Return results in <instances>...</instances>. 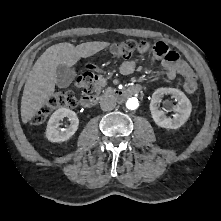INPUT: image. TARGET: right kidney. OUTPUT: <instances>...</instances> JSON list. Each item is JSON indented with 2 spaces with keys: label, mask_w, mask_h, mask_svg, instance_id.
<instances>
[{
  "label": "right kidney",
  "mask_w": 221,
  "mask_h": 221,
  "mask_svg": "<svg viewBox=\"0 0 221 221\" xmlns=\"http://www.w3.org/2000/svg\"><path fill=\"white\" fill-rule=\"evenodd\" d=\"M65 117L70 121V125L65 129H60V121ZM78 124L79 120L74 111L67 108H60L51 115L48 121L46 137L51 142L67 141L77 131Z\"/></svg>",
  "instance_id": "1"
}]
</instances>
